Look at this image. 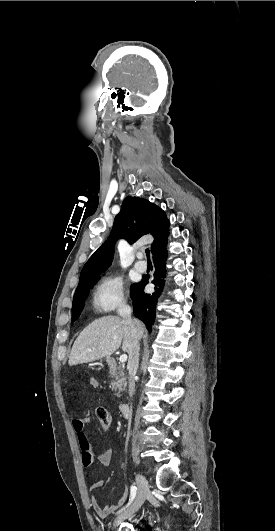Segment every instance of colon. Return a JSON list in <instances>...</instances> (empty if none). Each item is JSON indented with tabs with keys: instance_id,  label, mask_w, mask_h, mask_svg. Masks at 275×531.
<instances>
[{
	"instance_id": "1",
	"label": "colon",
	"mask_w": 275,
	"mask_h": 531,
	"mask_svg": "<svg viewBox=\"0 0 275 531\" xmlns=\"http://www.w3.org/2000/svg\"><path fill=\"white\" fill-rule=\"evenodd\" d=\"M97 419L102 428H109L111 425V417L109 412L105 408L99 407L97 409Z\"/></svg>"
}]
</instances>
